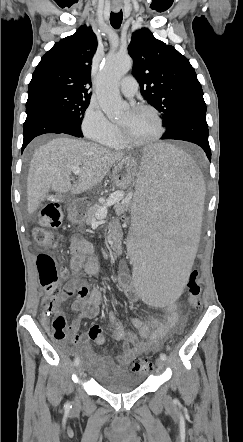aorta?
<instances>
[{
  "mask_svg": "<svg viewBox=\"0 0 243 442\" xmlns=\"http://www.w3.org/2000/svg\"><path fill=\"white\" fill-rule=\"evenodd\" d=\"M128 56L109 55L97 77L96 94L100 107L109 119L122 115L127 104L121 99L118 83L131 69Z\"/></svg>",
  "mask_w": 243,
  "mask_h": 442,
  "instance_id": "1",
  "label": "aorta"
}]
</instances>
